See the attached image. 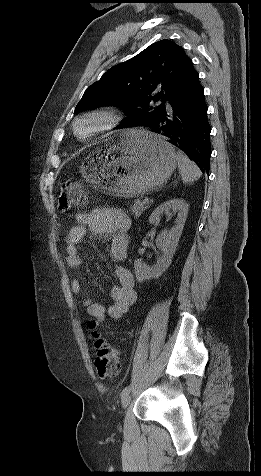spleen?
<instances>
[{
  "label": "spleen",
  "mask_w": 261,
  "mask_h": 476,
  "mask_svg": "<svg viewBox=\"0 0 261 476\" xmlns=\"http://www.w3.org/2000/svg\"><path fill=\"white\" fill-rule=\"evenodd\" d=\"M176 159L178 162V168L181 174L182 181L184 183H191L195 180H198L202 173L198 166L191 161L185 154L182 152L176 153Z\"/></svg>",
  "instance_id": "1"
}]
</instances>
